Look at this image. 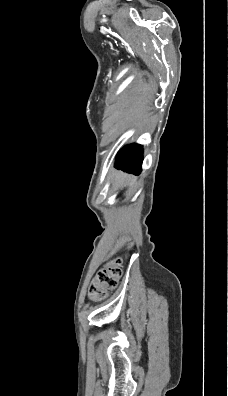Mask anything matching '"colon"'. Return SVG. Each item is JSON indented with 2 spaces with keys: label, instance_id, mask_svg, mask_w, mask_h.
Listing matches in <instances>:
<instances>
[{
  "label": "colon",
  "instance_id": "obj_1",
  "mask_svg": "<svg viewBox=\"0 0 228 396\" xmlns=\"http://www.w3.org/2000/svg\"><path fill=\"white\" fill-rule=\"evenodd\" d=\"M121 275L122 260L120 257L116 256L109 260L96 274L89 287V297L93 301L105 299L108 291L116 288Z\"/></svg>",
  "mask_w": 228,
  "mask_h": 396
}]
</instances>
